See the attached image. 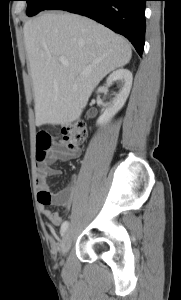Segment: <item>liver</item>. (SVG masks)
<instances>
[{"label": "liver", "mask_w": 181, "mask_h": 300, "mask_svg": "<svg viewBox=\"0 0 181 300\" xmlns=\"http://www.w3.org/2000/svg\"><path fill=\"white\" fill-rule=\"evenodd\" d=\"M23 32L38 127L79 119L98 83L132 57L125 38L72 13H43L27 21Z\"/></svg>", "instance_id": "1"}]
</instances>
